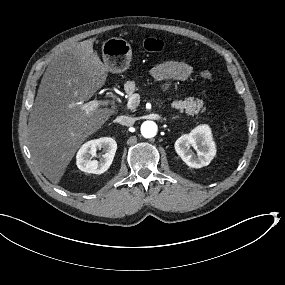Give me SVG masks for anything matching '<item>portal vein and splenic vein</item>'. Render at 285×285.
<instances>
[{"label":"portal vein and splenic vein","instance_id":"1","mask_svg":"<svg viewBox=\"0 0 285 285\" xmlns=\"http://www.w3.org/2000/svg\"><path fill=\"white\" fill-rule=\"evenodd\" d=\"M137 99H139V94H132L128 99L127 107L129 109L135 108V106L138 104ZM106 104L107 102L103 100H92L87 103H84L82 109L89 112L97 109L99 106H105Z\"/></svg>","mask_w":285,"mask_h":285}]
</instances>
